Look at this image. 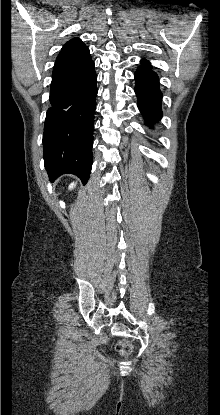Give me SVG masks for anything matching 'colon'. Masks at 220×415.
Listing matches in <instances>:
<instances>
[{"mask_svg": "<svg viewBox=\"0 0 220 415\" xmlns=\"http://www.w3.org/2000/svg\"><path fill=\"white\" fill-rule=\"evenodd\" d=\"M116 350L122 355H129L132 351V345L128 341L117 343Z\"/></svg>", "mask_w": 220, "mask_h": 415, "instance_id": "5ec220e1", "label": "colon"}]
</instances>
